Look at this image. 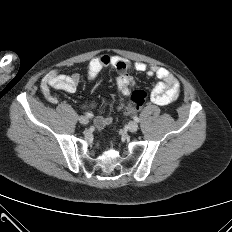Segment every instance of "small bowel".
Masks as SVG:
<instances>
[{
	"instance_id": "small-bowel-1",
	"label": "small bowel",
	"mask_w": 232,
	"mask_h": 232,
	"mask_svg": "<svg viewBox=\"0 0 232 232\" xmlns=\"http://www.w3.org/2000/svg\"><path fill=\"white\" fill-rule=\"evenodd\" d=\"M112 67L117 72L115 85L121 98L128 97L135 82L131 76V70L139 73H145L150 77L159 79V82L151 91V100L158 105H167L177 99L180 92V83L178 79L166 68L160 66L148 67L143 62L131 64L119 56L102 54L93 58L87 67L89 80L97 78L102 69ZM81 81V75L74 73L71 75L59 74L56 71H50L44 77L41 83V91L45 99L51 104H57L58 99L53 93V89L61 90L67 93H74ZM95 102H86L83 104L84 109L95 108ZM112 122L111 116H99L95 119L94 124L97 129H102Z\"/></svg>"
}]
</instances>
